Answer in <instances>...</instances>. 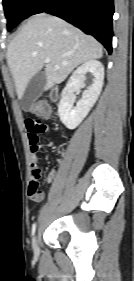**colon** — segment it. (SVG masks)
Returning <instances> with one entry per match:
<instances>
[{
	"label": "colon",
	"instance_id": "obj_1",
	"mask_svg": "<svg viewBox=\"0 0 134 281\" xmlns=\"http://www.w3.org/2000/svg\"><path fill=\"white\" fill-rule=\"evenodd\" d=\"M33 111L39 115H47L50 113V106L45 102H37L33 105ZM42 191L39 187V182L32 181L29 185V195L30 197H40Z\"/></svg>",
	"mask_w": 134,
	"mask_h": 281
}]
</instances>
